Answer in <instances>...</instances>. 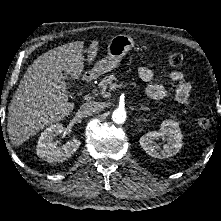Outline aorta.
Segmentation results:
<instances>
[{
    "instance_id": "762f6f07",
    "label": "aorta",
    "mask_w": 221,
    "mask_h": 221,
    "mask_svg": "<svg viewBox=\"0 0 221 221\" xmlns=\"http://www.w3.org/2000/svg\"><path fill=\"white\" fill-rule=\"evenodd\" d=\"M112 120L116 124H123L126 120V111L121 108H117L112 113Z\"/></svg>"
}]
</instances>
